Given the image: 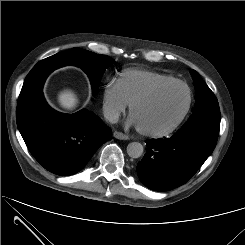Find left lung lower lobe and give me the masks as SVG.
I'll return each instance as SVG.
<instances>
[{"instance_id":"left-lung-lower-lobe-1","label":"left lung lower lobe","mask_w":245,"mask_h":245,"mask_svg":"<svg viewBox=\"0 0 245 245\" xmlns=\"http://www.w3.org/2000/svg\"><path fill=\"white\" fill-rule=\"evenodd\" d=\"M219 132L206 128L179 129L168 139H152L137 164L140 181L154 191L186 183L213 152Z\"/></svg>"}]
</instances>
